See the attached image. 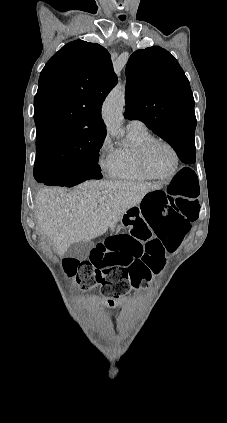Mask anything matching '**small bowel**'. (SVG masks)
<instances>
[{
	"label": "small bowel",
	"mask_w": 227,
	"mask_h": 423,
	"mask_svg": "<svg viewBox=\"0 0 227 423\" xmlns=\"http://www.w3.org/2000/svg\"><path fill=\"white\" fill-rule=\"evenodd\" d=\"M136 221L145 224L149 229V226L143 217L138 218ZM99 300L102 301L108 307H116L122 305L125 302L126 296L117 298L100 297Z\"/></svg>",
	"instance_id": "1"
}]
</instances>
